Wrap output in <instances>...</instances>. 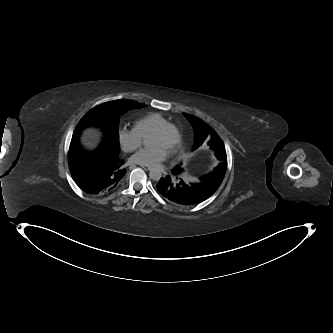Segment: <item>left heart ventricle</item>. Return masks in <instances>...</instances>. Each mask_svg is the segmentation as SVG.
<instances>
[{"mask_svg":"<svg viewBox=\"0 0 333 333\" xmlns=\"http://www.w3.org/2000/svg\"><path fill=\"white\" fill-rule=\"evenodd\" d=\"M172 136L171 135H161V134H151L147 138V144L149 146H157L164 150H168V147L171 143Z\"/></svg>","mask_w":333,"mask_h":333,"instance_id":"b2bd125f","label":"left heart ventricle"}]
</instances>
